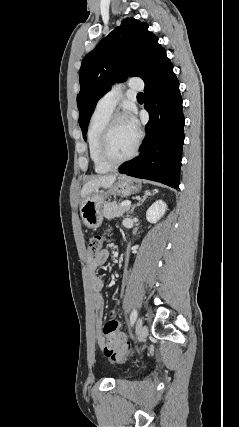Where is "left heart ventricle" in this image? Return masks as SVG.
<instances>
[{
	"instance_id": "1",
	"label": "left heart ventricle",
	"mask_w": 239,
	"mask_h": 427,
	"mask_svg": "<svg viewBox=\"0 0 239 427\" xmlns=\"http://www.w3.org/2000/svg\"><path fill=\"white\" fill-rule=\"evenodd\" d=\"M135 141L136 133L129 128L126 121H117L110 137L109 154L115 159L123 158L132 151Z\"/></svg>"
}]
</instances>
